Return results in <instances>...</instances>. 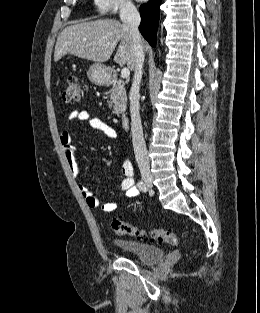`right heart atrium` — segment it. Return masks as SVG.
<instances>
[{"instance_id":"d8ad5b80","label":"right heart atrium","mask_w":260,"mask_h":313,"mask_svg":"<svg viewBox=\"0 0 260 313\" xmlns=\"http://www.w3.org/2000/svg\"><path fill=\"white\" fill-rule=\"evenodd\" d=\"M95 10L102 14L123 13L129 14L135 10L130 0H93Z\"/></svg>"}]
</instances>
